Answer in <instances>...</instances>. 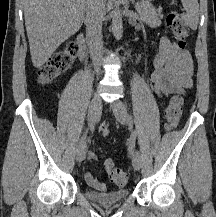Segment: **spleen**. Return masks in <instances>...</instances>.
I'll list each match as a JSON object with an SVG mask.
<instances>
[{
    "label": "spleen",
    "mask_w": 216,
    "mask_h": 217,
    "mask_svg": "<svg viewBox=\"0 0 216 217\" xmlns=\"http://www.w3.org/2000/svg\"><path fill=\"white\" fill-rule=\"evenodd\" d=\"M185 14L182 18L185 23L193 30L197 29L199 22V4L198 0H181Z\"/></svg>",
    "instance_id": "1"
}]
</instances>
